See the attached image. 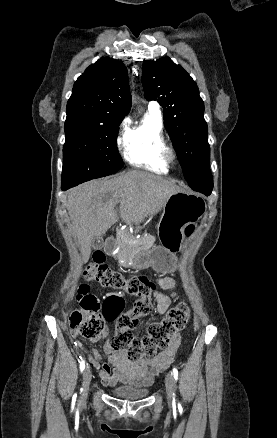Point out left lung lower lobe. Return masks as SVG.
Returning <instances> with one entry per match:
<instances>
[{
	"mask_svg": "<svg viewBox=\"0 0 277 438\" xmlns=\"http://www.w3.org/2000/svg\"><path fill=\"white\" fill-rule=\"evenodd\" d=\"M198 192H200V193H203V194H205L206 196H209L211 193H209V192H205V191H198Z\"/></svg>",
	"mask_w": 277,
	"mask_h": 438,
	"instance_id": "left-lung-lower-lobe-1",
	"label": "left lung lower lobe"
}]
</instances>
